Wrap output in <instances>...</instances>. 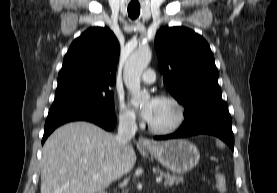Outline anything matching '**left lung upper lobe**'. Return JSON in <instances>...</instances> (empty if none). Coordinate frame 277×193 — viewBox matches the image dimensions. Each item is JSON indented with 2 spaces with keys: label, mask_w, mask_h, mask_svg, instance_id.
I'll use <instances>...</instances> for the list:
<instances>
[{
  "label": "left lung upper lobe",
  "mask_w": 277,
  "mask_h": 193,
  "mask_svg": "<svg viewBox=\"0 0 277 193\" xmlns=\"http://www.w3.org/2000/svg\"><path fill=\"white\" fill-rule=\"evenodd\" d=\"M154 45L163 81L185 116L202 103L222 100L214 56L202 36L186 27H165Z\"/></svg>",
  "instance_id": "left-lung-upper-lobe-1"
}]
</instances>
